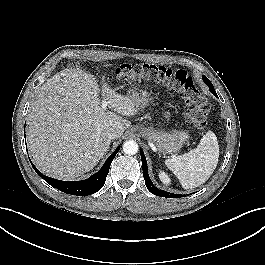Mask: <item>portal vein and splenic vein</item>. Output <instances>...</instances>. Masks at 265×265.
Masks as SVG:
<instances>
[{
    "mask_svg": "<svg viewBox=\"0 0 265 265\" xmlns=\"http://www.w3.org/2000/svg\"><path fill=\"white\" fill-rule=\"evenodd\" d=\"M107 101H106V99H103V101H102V105H101V110H106V108H107Z\"/></svg>",
    "mask_w": 265,
    "mask_h": 265,
    "instance_id": "18ae733b",
    "label": "portal vein and splenic vein"
}]
</instances>
